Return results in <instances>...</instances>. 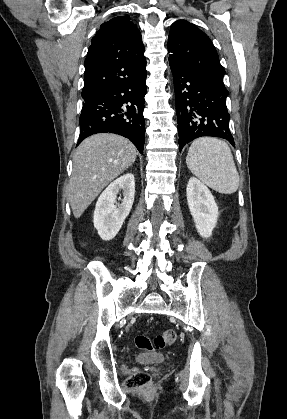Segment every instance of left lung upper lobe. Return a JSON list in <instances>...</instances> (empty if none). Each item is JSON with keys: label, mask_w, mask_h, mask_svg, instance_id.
<instances>
[{"label": "left lung upper lobe", "mask_w": 287, "mask_h": 419, "mask_svg": "<svg viewBox=\"0 0 287 419\" xmlns=\"http://www.w3.org/2000/svg\"><path fill=\"white\" fill-rule=\"evenodd\" d=\"M171 69L192 75L222 78L225 70L209 37L195 25L178 20L168 38Z\"/></svg>", "instance_id": "obj_1"}]
</instances>
